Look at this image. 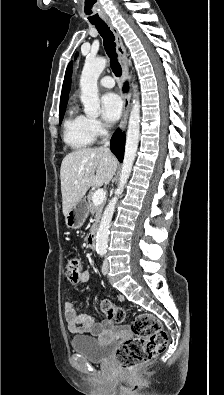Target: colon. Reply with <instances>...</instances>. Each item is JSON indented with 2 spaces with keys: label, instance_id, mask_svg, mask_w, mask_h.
<instances>
[{
  "label": "colon",
  "instance_id": "colon-1",
  "mask_svg": "<svg viewBox=\"0 0 224 395\" xmlns=\"http://www.w3.org/2000/svg\"><path fill=\"white\" fill-rule=\"evenodd\" d=\"M66 272L72 282L78 281L82 274L81 262L77 258L68 261ZM101 308L108 320L122 323L125 320L124 310L111 301L105 300ZM131 330L135 337L124 342L116 352V360L125 370L137 369L160 355L168 344V336L160 321L149 313L137 315Z\"/></svg>",
  "mask_w": 224,
  "mask_h": 395
}]
</instances>
